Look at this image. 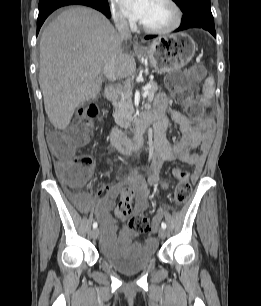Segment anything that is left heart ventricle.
Wrapping results in <instances>:
<instances>
[{"label": "left heart ventricle", "mask_w": 261, "mask_h": 306, "mask_svg": "<svg viewBox=\"0 0 261 306\" xmlns=\"http://www.w3.org/2000/svg\"><path fill=\"white\" fill-rule=\"evenodd\" d=\"M172 18V10L167 4L162 0H150L140 22L147 26L160 27L169 24Z\"/></svg>", "instance_id": "1"}]
</instances>
